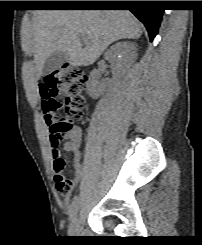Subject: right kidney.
I'll list each match as a JSON object with an SVG mask.
<instances>
[{"mask_svg": "<svg viewBox=\"0 0 202 245\" xmlns=\"http://www.w3.org/2000/svg\"><path fill=\"white\" fill-rule=\"evenodd\" d=\"M104 58L111 63L113 74L119 76L125 72L137 58L136 44L129 41H122L111 46L104 54ZM101 71L94 69L90 73L87 83L89 95L97 99L104 91V84L100 81Z\"/></svg>", "mask_w": 202, "mask_h": 245, "instance_id": "1", "label": "right kidney"}]
</instances>
